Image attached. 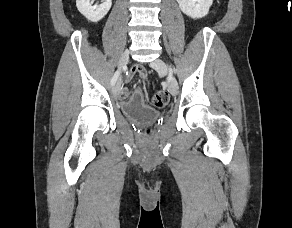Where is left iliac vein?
<instances>
[{"label":"left iliac vein","instance_id":"1","mask_svg":"<svg viewBox=\"0 0 292 228\" xmlns=\"http://www.w3.org/2000/svg\"><path fill=\"white\" fill-rule=\"evenodd\" d=\"M150 65L157 72L167 77L168 89L172 95H176L178 93V83L176 78L169 73L166 63L161 59H156Z\"/></svg>","mask_w":292,"mask_h":228}]
</instances>
